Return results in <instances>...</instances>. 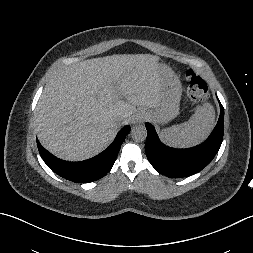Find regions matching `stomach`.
Returning <instances> with one entry per match:
<instances>
[{
	"label": "stomach",
	"mask_w": 253,
	"mask_h": 253,
	"mask_svg": "<svg viewBox=\"0 0 253 253\" xmlns=\"http://www.w3.org/2000/svg\"><path fill=\"white\" fill-rule=\"evenodd\" d=\"M160 85L162 98L149 114L155 122L166 124L179 114L182 86L177 75L165 64H160Z\"/></svg>",
	"instance_id": "stomach-1"
}]
</instances>
